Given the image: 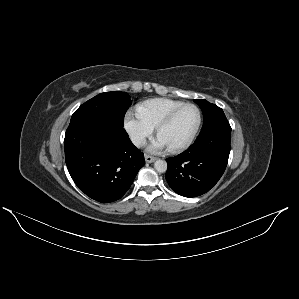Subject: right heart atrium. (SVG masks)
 Instances as JSON below:
<instances>
[{
	"label": "right heart atrium",
	"instance_id": "d8ad5b80",
	"mask_svg": "<svg viewBox=\"0 0 299 299\" xmlns=\"http://www.w3.org/2000/svg\"><path fill=\"white\" fill-rule=\"evenodd\" d=\"M124 128L133 144L138 147L142 146L154 132V127L132 111H128L124 117Z\"/></svg>",
	"mask_w": 299,
	"mask_h": 299
}]
</instances>
